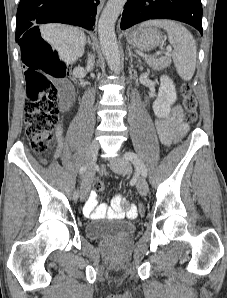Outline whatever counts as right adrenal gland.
<instances>
[{"instance_id": "obj_1", "label": "right adrenal gland", "mask_w": 227, "mask_h": 298, "mask_svg": "<svg viewBox=\"0 0 227 298\" xmlns=\"http://www.w3.org/2000/svg\"><path fill=\"white\" fill-rule=\"evenodd\" d=\"M88 44L89 45H92L89 39H88ZM92 49L94 50V47L93 46H92Z\"/></svg>"}]
</instances>
